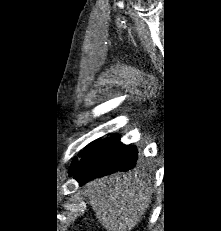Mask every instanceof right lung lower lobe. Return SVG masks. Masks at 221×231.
Here are the masks:
<instances>
[{
    "label": "right lung lower lobe",
    "mask_w": 221,
    "mask_h": 231,
    "mask_svg": "<svg viewBox=\"0 0 221 231\" xmlns=\"http://www.w3.org/2000/svg\"><path fill=\"white\" fill-rule=\"evenodd\" d=\"M81 157L80 162L71 165L70 174L83 185L94 178L134 168L138 152L136 146L122 144L116 134L97 141Z\"/></svg>",
    "instance_id": "right-lung-lower-lobe-1"
}]
</instances>
